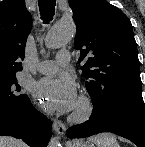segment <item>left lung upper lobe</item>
I'll return each instance as SVG.
<instances>
[{"label": "left lung upper lobe", "mask_w": 145, "mask_h": 147, "mask_svg": "<svg viewBox=\"0 0 145 147\" xmlns=\"http://www.w3.org/2000/svg\"><path fill=\"white\" fill-rule=\"evenodd\" d=\"M83 75L94 112L142 96L137 44L130 19L106 0H69Z\"/></svg>", "instance_id": "left-lung-upper-lobe-1"}]
</instances>
